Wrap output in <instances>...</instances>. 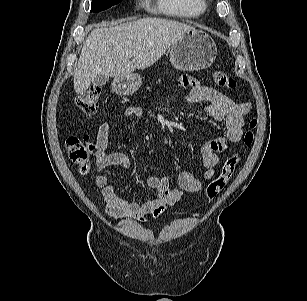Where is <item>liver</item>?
<instances>
[{
    "label": "liver",
    "mask_w": 307,
    "mask_h": 301,
    "mask_svg": "<svg viewBox=\"0 0 307 301\" xmlns=\"http://www.w3.org/2000/svg\"><path fill=\"white\" fill-rule=\"evenodd\" d=\"M192 29L185 23L155 17L94 29L83 44L74 73L75 92H85L98 75L123 77L150 67ZM129 52L137 55L130 60Z\"/></svg>",
    "instance_id": "6515ba94"
}]
</instances>
